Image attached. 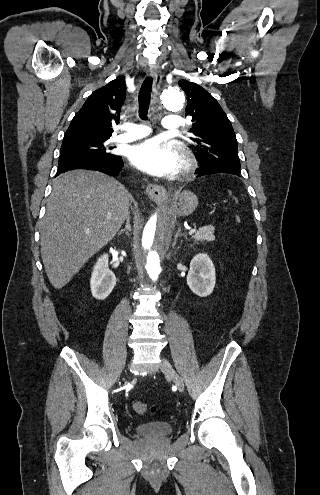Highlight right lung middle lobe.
<instances>
[{"mask_svg": "<svg viewBox=\"0 0 320 495\" xmlns=\"http://www.w3.org/2000/svg\"><path fill=\"white\" fill-rule=\"evenodd\" d=\"M109 138H84L63 140L59 160L65 158H111L116 155L108 152L106 145Z\"/></svg>", "mask_w": 320, "mask_h": 495, "instance_id": "1", "label": "right lung middle lobe"}]
</instances>
